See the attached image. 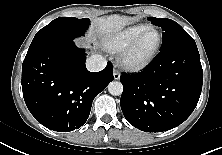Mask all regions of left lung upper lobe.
Instances as JSON below:
<instances>
[{
	"instance_id": "left-lung-upper-lobe-1",
	"label": "left lung upper lobe",
	"mask_w": 222,
	"mask_h": 155,
	"mask_svg": "<svg viewBox=\"0 0 222 155\" xmlns=\"http://www.w3.org/2000/svg\"><path fill=\"white\" fill-rule=\"evenodd\" d=\"M148 20L163 30L160 50L180 45H196L194 39L175 21L155 17H148Z\"/></svg>"
}]
</instances>
